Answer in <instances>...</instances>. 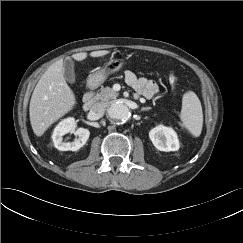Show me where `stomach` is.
<instances>
[{
	"label": "stomach",
	"instance_id": "obj_1",
	"mask_svg": "<svg viewBox=\"0 0 243 243\" xmlns=\"http://www.w3.org/2000/svg\"><path fill=\"white\" fill-rule=\"evenodd\" d=\"M122 66V60L111 59L109 62L105 64L102 70L89 75L87 79L88 86L94 88L101 85L107 79V76L109 74L118 71L119 69H121Z\"/></svg>",
	"mask_w": 243,
	"mask_h": 243
}]
</instances>
